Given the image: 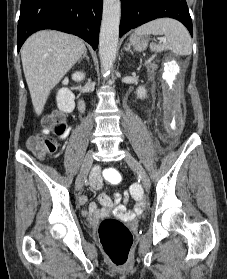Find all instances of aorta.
<instances>
[{
	"label": "aorta",
	"mask_w": 227,
	"mask_h": 279,
	"mask_svg": "<svg viewBox=\"0 0 227 279\" xmlns=\"http://www.w3.org/2000/svg\"><path fill=\"white\" fill-rule=\"evenodd\" d=\"M120 14V0H103L99 55L105 75L110 73L116 59Z\"/></svg>",
	"instance_id": "1"
}]
</instances>
